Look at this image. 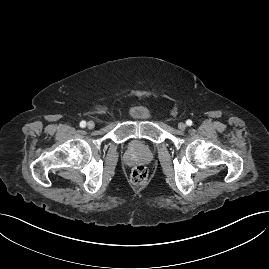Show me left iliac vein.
Masks as SVG:
<instances>
[{"instance_id": "4c4485c4", "label": "left iliac vein", "mask_w": 269, "mask_h": 269, "mask_svg": "<svg viewBox=\"0 0 269 269\" xmlns=\"http://www.w3.org/2000/svg\"><path fill=\"white\" fill-rule=\"evenodd\" d=\"M186 127H187V126H186V124H185L184 122H180V123L178 124V129L181 130V131L185 130Z\"/></svg>"}]
</instances>
